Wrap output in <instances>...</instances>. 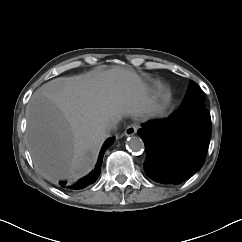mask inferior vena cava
Listing matches in <instances>:
<instances>
[{"label":"inferior vena cava","mask_w":242,"mask_h":242,"mask_svg":"<svg viewBox=\"0 0 242 242\" xmlns=\"http://www.w3.org/2000/svg\"><path fill=\"white\" fill-rule=\"evenodd\" d=\"M118 123H119V119L117 118L110 120L105 126V129H104L105 134L108 135L112 130H115Z\"/></svg>","instance_id":"inferior-vena-cava-1"}]
</instances>
